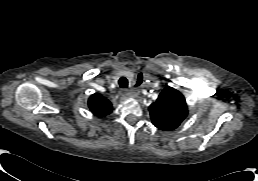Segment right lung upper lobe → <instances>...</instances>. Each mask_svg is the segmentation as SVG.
Segmentation results:
<instances>
[{
    "label": "right lung upper lobe",
    "mask_w": 258,
    "mask_h": 181,
    "mask_svg": "<svg viewBox=\"0 0 258 181\" xmlns=\"http://www.w3.org/2000/svg\"><path fill=\"white\" fill-rule=\"evenodd\" d=\"M88 106L94 115L104 117L112 112V104L100 94H93L88 101Z\"/></svg>",
    "instance_id": "1"
}]
</instances>
